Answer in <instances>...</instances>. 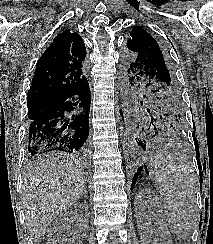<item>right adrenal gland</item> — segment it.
<instances>
[{"instance_id":"obj_1","label":"right adrenal gland","mask_w":213,"mask_h":244,"mask_svg":"<svg viewBox=\"0 0 213 244\" xmlns=\"http://www.w3.org/2000/svg\"><path fill=\"white\" fill-rule=\"evenodd\" d=\"M82 196H84L85 198L88 197V196H87V188H86V187L84 188V192H83Z\"/></svg>"}]
</instances>
